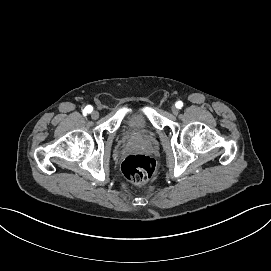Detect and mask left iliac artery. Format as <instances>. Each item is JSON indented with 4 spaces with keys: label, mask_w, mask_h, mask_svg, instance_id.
<instances>
[{
    "label": "left iliac artery",
    "mask_w": 271,
    "mask_h": 271,
    "mask_svg": "<svg viewBox=\"0 0 271 271\" xmlns=\"http://www.w3.org/2000/svg\"><path fill=\"white\" fill-rule=\"evenodd\" d=\"M175 106H176L178 109H181L182 106H183V102H182V101H178V102H176Z\"/></svg>",
    "instance_id": "obj_1"
}]
</instances>
